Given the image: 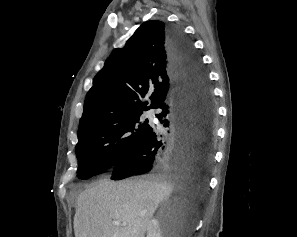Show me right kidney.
<instances>
[{"instance_id":"1","label":"right kidney","mask_w":297,"mask_h":237,"mask_svg":"<svg viewBox=\"0 0 297 237\" xmlns=\"http://www.w3.org/2000/svg\"><path fill=\"white\" fill-rule=\"evenodd\" d=\"M166 236H168V235H166L162 231L159 221L156 218L152 219L147 226V236L146 237H166Z\"/></svg>"}]
</instances>
